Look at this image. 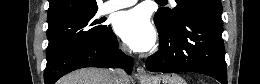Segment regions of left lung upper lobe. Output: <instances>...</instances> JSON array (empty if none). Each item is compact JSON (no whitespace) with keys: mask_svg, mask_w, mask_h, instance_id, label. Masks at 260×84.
I'll list each match as a JSON object with an SVG mask.
<instances>
[{"mask_svg":"<svg viewBox=\"0 0 260 84\" xmlns=\"http://www.w3.org/2000/svg\"><path fill=\"white\" fill-rule=\"evenodd\" d=\"M176 2L177 6L173 10L160 8L155 13L154 20L171 25L178 21L187 9L222 12L220 0H176Z\"/></svg>","mask_w":260,"mask_h":84,"instance_id":"obj_1","label":"left lung upper lobe"}]
</instances>
